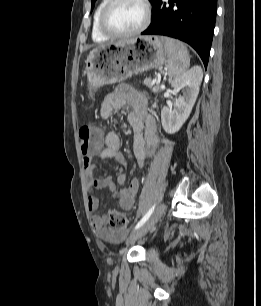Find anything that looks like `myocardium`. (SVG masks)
<instances>
[{
  "instance_id": "myocardium-1",
  "label": "myocardium",
  "mask_w": 261,
  "mask_h": 306,
  "mask_svg": "<svg viewBox=\"0 0 261 306\" xmlns=\"http://www.w3.org/2000/svg\"><path fill=\"white\" fill-rule=\"evenodd\" d=\"M121 1L122 0H108V2L106 3V5L101 11L100 18H99V26H100L101 31L105 35L112 37V38H128V37L138 35L139 33L144 31L148 27L151 21L152 9H151V4L149 0H138V2L142 4L144 11H145V15H144V19L142 23L136 29L130 32H120V31L115 30L109 24L108 17H109L111 10Z\"/></svg>"
}]
</instances>
